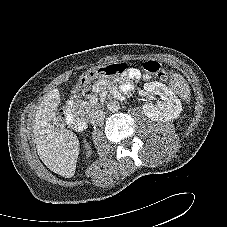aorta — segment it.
I'll return each instance as SVG.
<instances>
[{
	"label": "aorta",
	"mask_w": 227,
	"mask_h": 227,
	"mask_svg": "<svg viewBox=\"0 0 227 227\" xmlns=\"http://www.w3.org/2000/svg\"><path fill=\"white\" fill-rule=\"evenodd\" d=\"M119 103L117 101H110L107 105V109L110 111V112H117L119 110Z\"/></svg>",
	"instance_id": "1"
}]
</instances>
